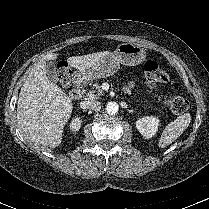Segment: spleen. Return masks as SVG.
<instances>
[{
  "label": "spleen",
  "instance_id": "1",
  "mask_svg": "<svg viewBox=\"0 0 209 209\" xmlns=\"http://www.w3.org/2000/svg\"><path fill=\"white\" fill-rule=\"evenodd\" d=\"M190 122V113H185L177 117L174 121L170 122L162 132L158 143L159 147L165 148L174 142L189 126Z\"/></svg>",
  "mask_w": 209,
  "mask_h": 209
}]
</instances>
